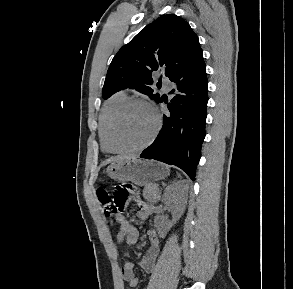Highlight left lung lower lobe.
I'll return each mask as SVG.
<instances>
[{
    "label": "left lung lower lobe",
    "mask_w": 293,
    "mask_h": 289,
    "mask_svg": "<svg viewBox=\"0 0 293 289\" xmlns=\"http://www.w3.org/2000/svg\"><path fill=\"white\" fill-rule=\"evenodd\" d=\"M175 87L173 98L163 116V127L155 141L140 155L176 165L194 180L205 138L206 108L208 102L207 74L203 53L170 77ZM165 101L161 97L158 101ZM166 102V101H165Z\"/></svg>",
    "instance_id": "left-lung-lower-lobe-1"
}]
</instances>
